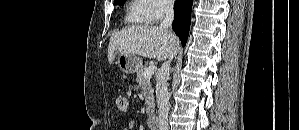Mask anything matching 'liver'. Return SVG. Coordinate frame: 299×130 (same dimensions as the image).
I'll use <instances>...</instances> for the list:
<instances>
[{"instance_id": "1", "label": "liver", "mask_w": 299, "mask_h": 130, "mask_svg": "<svg viewBox=\"0 0 299 130\" xmlns=\"http://www.w3.org/2000/svg\"><path fill=\"white\" fill-rule=\"evenodd\" d=\"M179 50L177 36L160 26H128L113 34L108 46V61L119 54H134L163 61Z\"/></svg>"}]
</instances>
